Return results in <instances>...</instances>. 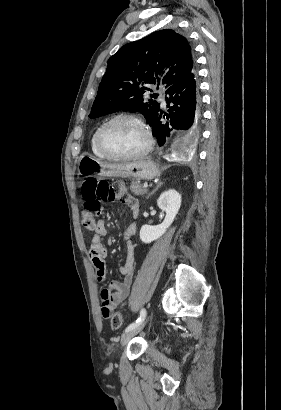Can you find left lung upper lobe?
<instances>
[{
	"label": "left lung upper lobe",
	"mask_w": 281,
	"mask_h": 410,
	"mask_svg": "<svg viewBox=\"0 0 281 410\" xmlns=\"http://www.w3.org/2000/svg\"><path fill=\"white\" fill-rule=\"evenodd\" d=\"M194 71L192 50L185 37L171 29L153 32L124 45L110 57L89 117L131 110L143 113L151 124L160 104L144 98L146 90L153 92L145 84L161 82L169 88Z\"/></svg>",
	"instance_id": "1"
}]
</instances>
